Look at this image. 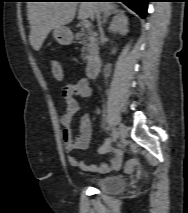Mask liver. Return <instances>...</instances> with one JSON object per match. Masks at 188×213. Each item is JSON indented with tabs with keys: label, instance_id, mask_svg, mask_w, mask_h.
<instances>
[{
	"label": "liver",
	"instance_id": "liver-1",
	"mask_svg": "<svg viewBox=\"0 0 188 213\" xmlns=\"http://www.w3.org/2000/svg\"><path fill=\"white\" fill-rule=\"evenodd\" d=\"M78 3L79 18H90L92 21L97 11L104 13L116 7L109 2H28L27 16L31 29L29 41L35 51L40 50L51 30L73 20Z\"/></svg>",
	"mask_w": 188,
	"mask_h": 213
}]
</instances>
